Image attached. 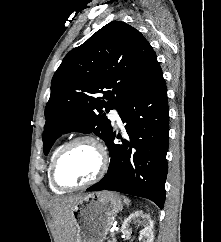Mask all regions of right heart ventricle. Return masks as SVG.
<instances>
[{"label":"right heart ventricle","mask_w":221,"mask_h":242,"mask_svg":"<svg viewBox=\"0 0 221 242\" xmlns=\"http://www.w3.org/2000/svg\"><path fill=\"white\" fill-rule=\"evenodd\" d=\"M63 144H58L54 147V149L52 150L51 152V155L49 157V162H48V184H49V187L50 189L54 192V193H63L64 190H61L59 188H57L56 186L53 185V183L51 182V179H50V166L52 164V161L53 159L55 158L57 152L59 151V149L62 147Z\"/></svg>","instance_id":"obj_1"}]
</instances>
